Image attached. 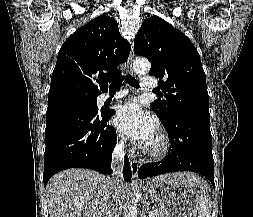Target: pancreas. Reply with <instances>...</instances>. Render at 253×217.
Returning a JSON list of instances; mask_svg holds the SVG:
<instances>
[{"label": "pancreas", "mask_w": 253, "mask_h": 217, "mask_svg": "<svg viewBox=\"0 0 253 217\" xmlns=\"http://www.w3.org/2000/svg\"><path fill=\"white\" fill-rule=\"evenodd\" d=\"M155 217H166L162 209H156Z\"/></svg>", "instance_id": "obj_1"}]
</instances>
